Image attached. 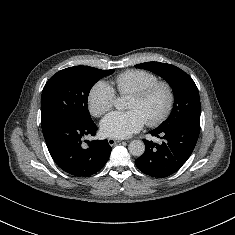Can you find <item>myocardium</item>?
Returning <instances> with one entry per match:
<instances>
[{"label": "myocardium", "instance_id": "myocardium-1", "mask_svg": "<svg viewBox=\"0 0 235 235\" xmlns=\"http://www.w3.org/2000/svg\"><path fill=\"white\" fill-rule=\"evenodd\" d=\"M159 91H162L165 94V106L157 115L147 120V124L149 126H157L161 124L171 114L175 103V94L172 86L167 82L157 81L156 83L131 94V96L136 97L139 100L146 101Z\"/></svg>", "mask_w": 235, "mask_h": 235}]
</instances>
